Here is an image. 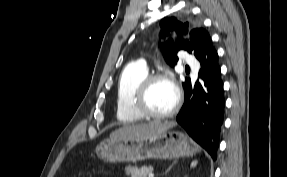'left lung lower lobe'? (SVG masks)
Instances as JSON below:
<instances>
[{"label":"left lung lower lobe","instance_id":"1","mask_svg":"<svg viewBox=\"0 0 287 177\" xmlns=\"http://www.w3.org/2000/svg\"><path fill=\"white\" fill-rule=\"evenodd\" d=\"M198 60L201 64L198 79L191 82L185 78V100L176 120L215 160L225 100L218 54L212 44Z\"/></svg>","mask_w":287,"mask_h":177}]
</instances>
